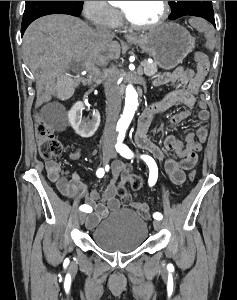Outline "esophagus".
<instances>
[{
    "instance_id": "1",
    "label": "esophagus",
    "mask_w": 237,
    "mask_h": 300,
    "mask_svg": "<svg viewBox=\"0 0 237 300\" xmlns=\"http://www.w3.org/2000/svg\"><path fill=\"white\" fill-rule=\"evenodd\" d=\"M125 38H126L127 40H133V39H135V35L128 34V35L125 36Z\"/></svg>"
}]
</instances>
